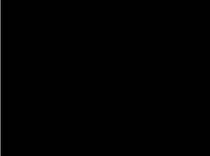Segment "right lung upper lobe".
<instances>
[{
  "label": "right lung upper lobe",
  "instance_id": "obj_1",
  "mask_svg": "<svg viewBox=\"0 0 210 156\" xmlns=\"http://www.w3.org/2000/svg\"><path fill=\"white\" fill-rule=\"evenodd\" d=\"M77 84L66 75L54 78L45 91L44 127L58 140L80 136L86 128L77 109Z\"/></svg>",
  "mask_w": 210,
  "mask_h": 156
}]
</instances>
